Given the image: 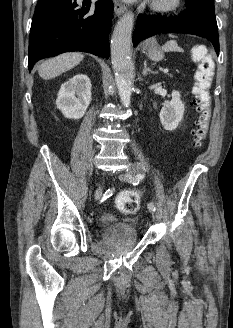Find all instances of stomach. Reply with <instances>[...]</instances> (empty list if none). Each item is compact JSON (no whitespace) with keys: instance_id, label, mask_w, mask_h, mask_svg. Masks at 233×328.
<instances>
[{"instance_id":"obj_1","label":"stomach","mask_w":233,"mask_h":328,"mask_svg":"<svg viewBox=\"0 0 233 328\" xmlns=\"http://www.w3.org/2000/svg\"><path fill=\"white\" fill-rule=\"evenodd\" d=\"M143 50L147 51V56L153 61H160L164 57L163 52L155 40H150L143 47Z\"/></svg>"}]
</instances>
